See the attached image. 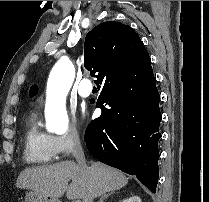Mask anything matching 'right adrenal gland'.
<instances>
[{
  "instance_id": "2a0ac1e0",
  "label": "right adrenal gland",
  "mask_w": 209,
  "mask_h": 202,
  "mask_svg": "<svg viewBox=\"0 0 209 202\" xmlns=\"http://www.w3.org/2000/svg\"><path fill=\"white\" fill-rule=\"evenodd\" d=\"M114 193H115L114 191H111V192H109V193L104 194V195L100 198L99 202H104L105 199H107L109 196H111V195L114 194Z\"/></svg>"
}]
</instances>
